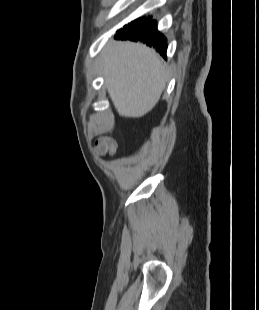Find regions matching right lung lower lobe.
Returning <instances> with one entry per match:
<instances>
[{"label": "right lung lower lobe", "instance_id": "obj_1", "mask_svg": "<svg viewBox=\"0 0 259 310\" xmlns=\"http://www.w3.org/2000/svg\"><path fill=\"white\" fill-rule=\"evenodd\" d=\"M155 20L137 19L128 25L125 31L120 30L115 35L116 39L140 41L153 47L162 56L166 57L167 39L157 30Z\"/></svg>", "mask_w": 259, "mask_h": 310}]
</instances>
